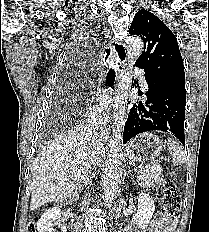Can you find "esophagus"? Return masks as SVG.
<instances>
[{"mask_svg": "<svg viewBox=\"0 0 209 232\" xmlns=\"http://www.w3.org/2000/svg\"><path fill=\"white\" fill-rule=\"evenodd\" d=\"M111 45L113 54L108 64L107 85L108 87L113 88L115 87L116 82L120 76V71L117 66V62H119L121 65H124L127 58V52L124 44L114 38L111 39Z\"/></svg>", "mask_w": 209, "mask_h": 232, "instance_id": "obj_1", "label": "esophagus"}]
</instances>
